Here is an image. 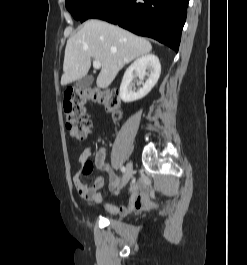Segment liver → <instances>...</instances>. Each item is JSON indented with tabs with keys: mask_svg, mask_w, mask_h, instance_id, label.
<instances>
[{
	"mask_svg": "<svg viewBox=\"0 0 247 265\" xmlns=\"http://www.w3.org/2000/svg\"><path fill=\"white\" fill-rule=\"evenodd\" d=\"M151 50V43L142 37L104 21L88 20L67 41L61 85L86 76L94 58L101 63L96 83L107 88L126 64Z\"/></svg>",
	"mask_w": 247,
	"mask_h": 265,
	"instance_id": "liver-1",
	"label": "liver"
}]
</instances>
